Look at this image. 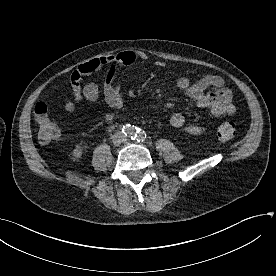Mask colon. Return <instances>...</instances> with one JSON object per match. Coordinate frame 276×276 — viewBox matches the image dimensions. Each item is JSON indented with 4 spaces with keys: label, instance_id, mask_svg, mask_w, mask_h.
<instances>
[{
    "label": "colon",
    "instance_id": "1",
    "mask_svg": "<svg viewBox=\"0 0 276 276\" xmlns=\"http://www.w3.org/2000/svg\"><path fill=\"white\" fill-rule=\"evenodd\" d=\"M35 120L38 126V139L47 144L60 138L61 132L57 123L49 116L48 107L44 102L35 106ZM217 137L222 141H229L236 136V127L233 122H222L216 130Z\"/></svg>",
    "mask_w": 276,
    "mask_h": 276
}]
</instances>
